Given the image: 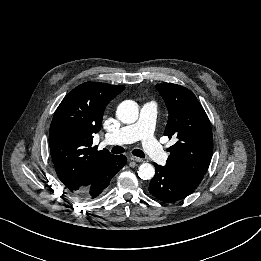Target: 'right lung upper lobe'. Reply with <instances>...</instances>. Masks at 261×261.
Wrapping results in <instances>:
<instances>
[{"instance_id": "right-lung-upper-lobe-1", "label": "right lung upper lobe", "mask_w": 261, "mask_h": 261, "mask_svg": "<svg viewBox=\"0 0 261 261\" xmlns=\"http://www.w3.org/2000/svg\"><path fill=\"white\" fill-rule=\"evenodd\" d=\"M124 86L85 82L73 89L55 111L49 131L51 157L60 181L75 194L88 186L99 167L112 156L92 146L107 104Z\"/></svg>"}]
</instances>
